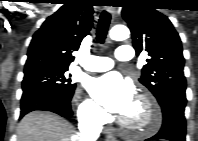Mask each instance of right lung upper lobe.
Returning a JSON list of instances; mask_svg holds the SVG:
<instances>
[{
  "label": "right lung upper lobe",
  "instance_id": "right-lung-upper-lobe-1",
  "mask_svg": "<svg viewBox=\"0 0 198 141\" xmlns=\"http://www.w3.org/2000/svg\"><path fill=\"white\" fill-rule=\"evenodd\" d=\"M89 0H68L49 16L34 34L28 50L25 72L40 68H68L72 52L89 33L93 22Z\"/></svg>",
  "mask_w": 198,
  "mask_h": 141
}]
</instances>
